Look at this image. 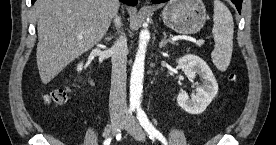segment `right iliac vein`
Returning <instances> with one entry per match:
<instances>
[{
  "mask_svg": "<svg viewBox=\"0 0 276 145\" xmlns=\"http://www.w3.org/2000/svg\"><path fill=\"white\" fill-rule=\"evenodd\" d=\"M123 117L121 115L111 116V125L113 133H116L118 126L121 124Z\"/></svg>",
  "mask_w": 276,
  "mask_h": 145,
  "instance_id": "obj_1",
  "label": "right iliac vein"
}]
</instances>
